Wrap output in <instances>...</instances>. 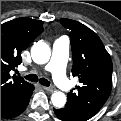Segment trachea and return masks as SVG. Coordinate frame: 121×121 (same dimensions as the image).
Masks as SVG:
<instances>
[{
    "mask_svg": "<svg viewBox=\"0 0 121 121\" xmlns=\"http://www.w3.org/2000/svg\"><path fill=\"white\" fill-rule=\"evenodd\" d=\"M25 78L29 81H32V82H38L39 81V83L43 86H50V82L47 79H45V78L39 79L38 76L35 75V74L26 75Z\"/></svg>",
    "mask_w": 121,
    "mask_h": 121,
    "instance_id": "1",
    "label": "trachea"
}]
</instances>
